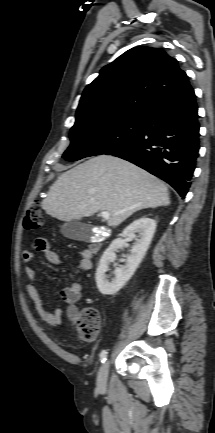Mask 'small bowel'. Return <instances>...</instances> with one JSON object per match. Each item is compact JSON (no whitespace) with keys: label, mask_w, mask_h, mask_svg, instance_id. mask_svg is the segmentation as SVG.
<instances>
[{"label":"small bowel","mask_w":215,"mask_h":433,"mask_svg":"<svg viewBox=\"0 0 215 433\" xmlns=\"http://www.w3.org/2000/svg\"><path fill=\"white\" fill-rule=\"evenodd\" d=\"M33 248L35 251L43 253L46 260L50 264L56 266L62 264V260L58 253L49 246V243L45 239H37L34 242ZM22 258L24 262L31 264L35 259V253L28 250L24 251ZM92 259L93 253L90 251V249H83L79 254L76 272L83 273L89 271L92 268ZM25 273L28 279L26 284V292L32 300L36 312L44 322L51 326H60L63 323L65 317L71 321H75L77 319V305L82 298L83 290V286L80 281L73 280L68 286L61 289L60 296L68 304L67 310L64 313L58 308L49 310L45 307L40 293L36 287V272L34 268L28 265L25 268Z\"/></svg>","instance_id":"1"}]
</instances>
